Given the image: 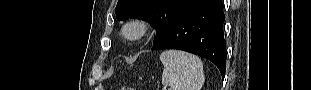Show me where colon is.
Returning a JSON list of instances; mask_svg holds the SVG:
<instances>
[{
  "instance_id": "obj_1",
  "label": "colon",
  "mask_w": 311,
  "mask_h": 90,
  "mask_svg": "<svg viewBox=\"0 0 311 90\" xmlns=\"http://www.w3.org/2000/svg\"><path fill=\"white\" fill-rule=\"evenodd\" d=\"M121 90H133V89L130 87H122Z\"/></svg>"
}]
</instances>
